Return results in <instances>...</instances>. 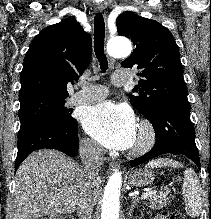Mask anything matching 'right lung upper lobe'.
Masks as SVG:
<instances>
[{"label": "right lung upper lobe", "mask_w": 211, "mask_h": 219, "mask_svg": "<svg viewBox=\"0 0 211 219\" xmlns=\"http://www.w3.org/2000/svg\"><path fill=\"white\" fill-rule=\"evenodd\" d=\"M91 48L90 34L74 18L44 28L25 55L20 102L40 97L66 98L67 84L87 68Z\"/></svg>", "instance_id": "cb5924a9"}]
</instances>
